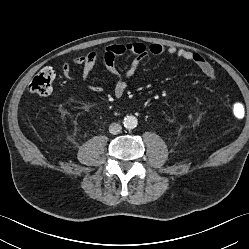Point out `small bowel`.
Returning a JSON list of instances; mask_svg holds the SVG:
<instances>
[{
  "mask_svg": "<svg viewBox=\"0 0 249 249\" xmlns=\"http://www.w3.org/2000/svg\"><path fill=\"white\" fill-rule=\"evenodd\" d=\"M149 54L154 56L167 54L169 56L193 62L206 77L212 81L216 80V72L214 67L199 53L174 46L165 47L162 44H152L149 48L138 42L111 44L105 46L101 51L93 50L85 55L77 57L75 59V63L81 65V77L82 80L87 83L88 88L95 93H99L102 91V87L97 84L90 83L89 78L97 60L102 58L107 71L114 79L113 95L116 98H120L125 93L129 81L133 77L137 66ZM124 55H133L134 59L131 62V65L124 72H120L116 66V60ZM61 72L67 79L73 78L72 65L69 62L62 64Z\"/></svg>",
  "mask_w": 249,
  "mask_h": 249,
  "instance_id": "small-bowel-1",
  "label": "small bowel"
}]
</instances>
